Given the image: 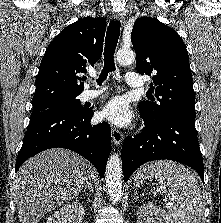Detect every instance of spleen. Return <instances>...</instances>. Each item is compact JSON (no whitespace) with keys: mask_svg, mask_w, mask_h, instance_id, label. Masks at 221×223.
<instances>
[{"mask_svg":"<svg viewBox=\"0 0 221 223\" xmlns=\"http://www.w3.org/2000/svg\"><path fill=\"white\" fill-rule=\"evenodd\" d=\"M155 178L168 187L165 207L175 223H200L201 191L194 174L182 164L170 160L150 162L142 166L135 177V186Z\"/></svg>","mask_w":221,"mask_h":223,"instance_id":"spleen-1","label":"spleen"}]
</instances>
